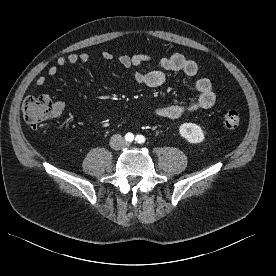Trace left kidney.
Segmentation results:
<instances>
[{"instance_id":"obj_1","label":"left kidney","mask_w":276,"mask_h":276,"mask_svg":"<svg viewBox=\"0 0 276 276\" xmlns=\"http://www.w3.org/2000/svg\"><path fill=\"white\" fill-rule=\"evenodd\" d=\"M181 137L189 143L196 144L204 140V133L201 127L195 123H183L179 127Z\"/></svg>"}]
</instances>
